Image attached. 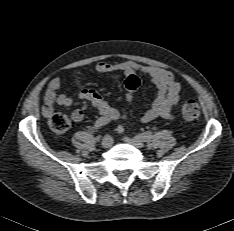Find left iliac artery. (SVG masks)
<instances>
[{
  "mask_svg": "<svg viewBox=\"0 0 234 231\" xmlns=\"http://www.w3.org/2000/svg\"><path fill=\"white\" fill-rule=\"evenodd\" d=\"M118 133L122 134L124 133L125 129L123 126H118L117 128ZM153 133L151 131H147L141 134L136 135L134 138L139 139L144 142H148L152 139Z\"/></svg>",
  "mask_w": 234,
  "mask_h": 231,
  "instance_id": "44dca946",
  "label": "left iliac artery"
}]
</instances>
